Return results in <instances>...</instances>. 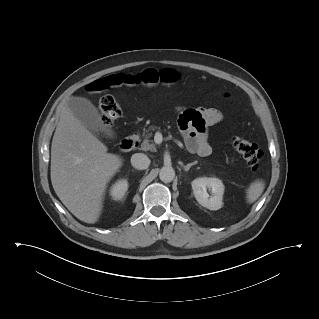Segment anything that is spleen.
<instances>
[{
  "label": "spleen",
  "instance_id": "obj_1",
  "mask_svg": "<svg viewBox=\"0 0 319 319\" xmlns=\"http://www.w3.org/2000/svg\"><path fill=\"white\" fill-rule=\"evenodd\" d=\"M265 183L262 180H256L250 184L246 191V199L248 203H254L263 193Z\"/></svg>",
  "mask_w": 319,
  "mask_h": 319
}]
</instances>
